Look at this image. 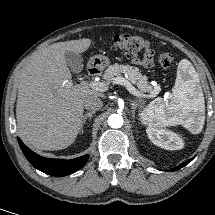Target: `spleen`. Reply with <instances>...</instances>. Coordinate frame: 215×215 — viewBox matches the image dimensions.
<instances>
[{
	"mask_svg": "<svg viewBox=\"0 0 215 215\" xmlns=\"http://www.w3.org/2000/svg\"><path fill=\"white\" fill-rule=\"evenodd\" d=\"M197 82L198 75L192 64L181 60L171 100L155 99L140 114L141 119L149 127L182 125L193 134L200 133L205 121V102Z\"/></svg>",
	"mask_w": 215,
	"mask_h": 215,
	"instance_id": "spleen-1",
	"label": "spleen"
}]
</instances>
